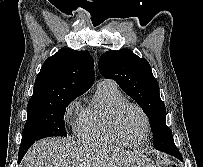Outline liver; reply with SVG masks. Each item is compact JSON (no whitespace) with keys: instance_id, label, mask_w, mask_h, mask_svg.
Segmentation results:
<instances>
[{"instance_id":"6515ba94","label":"liver","mask_w":203,"mask_h":167,"mask_svg":"<svg viewBox=\"0 0 203 167\" xmlns=\"http://www.w3.org/2000/svg\"><path fill=\"white\" fill-rule=\"evenodd\" d=\"M20 167H153L140 154L94 146L72 138H46L27 152Z\"/></svg>"}]
</instances>
